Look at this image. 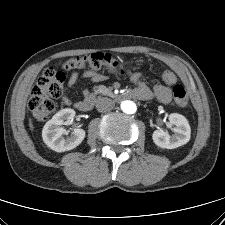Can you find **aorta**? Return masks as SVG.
<instances>
[{
    "label": "aorta",
    "mask_w": 225,
    "mask_h": 225,
    "mask_svg": "<svg viewBox=\"0 0 225 225\" xmlns=\"http://www.w3.org/2000/svg\"><path fill=\"white\" fill-rule=\"evenodd\" d=\"M121 109L127 114H134L137 110V106L133 101L126 100L121 103Z\"/></svg>",
    "instance_id": "aorta-1"
}]
</instances>
